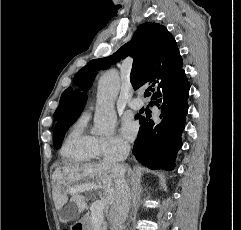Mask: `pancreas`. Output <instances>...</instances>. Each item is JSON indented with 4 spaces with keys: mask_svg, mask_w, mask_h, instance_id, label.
<instances>
[{
    "mask_svg": "<svg viewBox=\"0 0 241 230\" xmlns=\"http://www.w3.org/2000/svg\"><path fill=\"white\" fill-rule=\"evenodd\" d=\"M86 219L90 226V230H102L103 221L101 222V224L95 225L92 221V216H88Z\"/></svg>",
    "mask_w": 241,
    "mask_h": 230,
    "instance_id": "1",
    "label": "pancreas"
}]
</instances>
